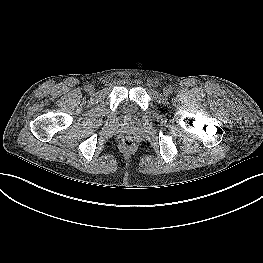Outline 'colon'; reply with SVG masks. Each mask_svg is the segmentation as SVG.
Wrapping results in <instances>:
<instances>
[{"mask_svg": "<svg viewBox=\"0 0 263 263\" xmlns=\"http://www.w3.org/2000/svg\"><path fill=\"white\" fill-rule=\"evenodd\" d=\"M122 144H123V146H130V145H132V142L130 140L126 139L122 142Z\"/></svg>", "mask_w": 263, "mask_h": 263, "instance_id": "5ec220e1", "label": "colon"}]
</instances>
